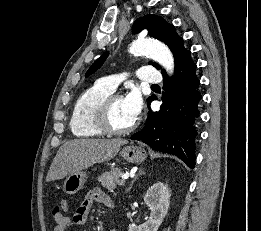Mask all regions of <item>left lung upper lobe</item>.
<instances>
[{"label": "left lung upper lobe", "mask_w": 261, "mask_h": 231, "mask_svg": "<svg viewBox=\"0 0 261 231\" xmlns=\"http://www.w3.org/2000/svg\"><path fill=\"white\" fill-rule=\"evenodd\" d=\"M148 30V35L154 37L162 42H164L173 53L175 60V67L179 62L188 54H191L183 45V39L179 37L175 31L173 25L167 23L162 17L157 15H146L144 17L138 18L133 25V33H139L143 29ZM107 53H104L100 58H98L93 65L89 68L86 76H89L94 71H96L102 63L105 61ZM157 69L161 67L157 63L149 62ZM162 74H166L165 70L162 69ZM155 98L154 95L147 99L148 104Z\"/></svg>", "instance_id": "5c2ea615"}]
</instances>
